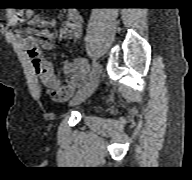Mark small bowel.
Returning <instances> with one entry per match:
<instances>
[{"mask_svg": "<svg viewBox=\"0 0 192 180\" xmlns=\"http://www.w3.org/2000/svg\"><path fill=\"white\" fill-rule=\"evenodd\" d=\"M25 18L31 19L32 23L37 25V28L25 31L26 37L23 39V44L28 51L36 75L49 90L54 100L65 101L69 99L85 81L89 68L88 62L83 58L64 62L62 68L67 79L65 83H61L54 73L52 64L43 56L41 50L53 49L54 45L49 27L55 24V20L40 22L34 17L33 10L27 9L17 10L13 14L12 23L16 26L21 25ZM82 28V15L78 10L72 9L68 13L67 22L61 29V36L70 40L79 39L82 35Z\"/></svg>", "mask_w": 192, "mask_h": 180, "instance_id": "obj_1", "label": "small bowel"}]
</instances>
